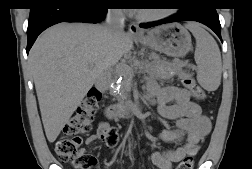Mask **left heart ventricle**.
Instances as JSON below:
<instances>
[{"label": "left heart ventricle", "instance_id": "1", "mask_svg": "<svg viewBox=\"0 0 252 169\" xmlns=\"http://www.w3.org/2000/svg\"><path fill=\"white\" fill-rule=\"evenodd\" d=\"M140 13H149L151 10H139Z\"/></svg>", "mask_w": 252, "mask_h": 169}]
</instances>
